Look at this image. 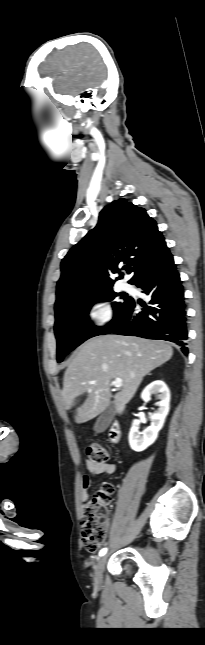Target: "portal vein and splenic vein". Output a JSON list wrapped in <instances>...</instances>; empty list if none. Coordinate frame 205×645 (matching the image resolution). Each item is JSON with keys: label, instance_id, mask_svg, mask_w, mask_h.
Instances as JSON below:
<instances>
[{"label": "portal vein and splenic vein", "instance_id": "1", "mask_svg": "<svg viewBox=\"0 0 205 645\" xmlns=\"http://www.w3.org/2000/svg\"><path fill=\"white\" fill-rule=\"evenodd\" d=\"M89 384L93 385V384H95V381H90ZM113 385H114L115 388H121L122 387V380L120 378L115 379L113 381Z\"/></svg>", "mask_w": 205, "mask_h": 645}]
</instances>
